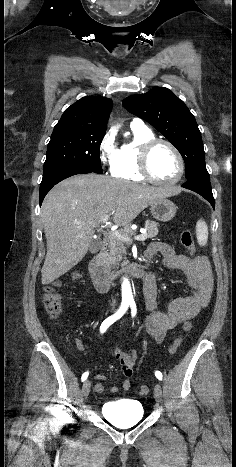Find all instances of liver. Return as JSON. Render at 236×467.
Wrapping results in <instances>:
<instances>
[{
    "label": "liver",
    "instance_id": "obj_1",
    "mask_svg": "<svg viewBox=\"0 0 236 467\" xmlns=\"http://www.w3.org/2000/svg\"><path fill=\"white\" fill-rule=\"evenodd\" d=\"M179 192L175 187H150L97 174L57 184L41 207L47 242L42 284H50L83 259L104 216H112L116 226H128L153 202Z\"/></svg>",
    "mask_w": 236,
    "mask_h": 467
}]
</instances>
